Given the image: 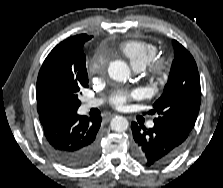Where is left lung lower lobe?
I'll return each instance as SVG.
<instances>
[{"instance_id":"left-lung-lower-lobe-1","label":"left lung lower lobe","mask_w":223,"mask_h":188,"mask_svg":"<svg viewBox=\"0 0 223 188\" xmlns=\"http://www.w3.org/2000/svg\"><path fill=\"white\" fill-rule=\"evenodd\" d=\"M133 154L146 166H163L174 160L181 152L183 144L161 125L146 129L132 122Z\"/></svg>"}]
</instances>
